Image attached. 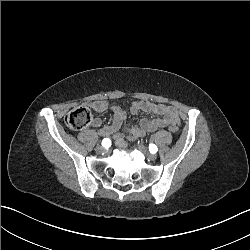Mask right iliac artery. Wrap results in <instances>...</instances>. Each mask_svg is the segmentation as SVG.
I'll return each mask as SVG.
<instances>
[{
    "instance_id": "right-iliac-artery-1",
    "label": "right iliac artery",
    "mask_w": 250,
    "mask_h": 250,
    "mask_svg": "<svg viewBox=\"0 0 250 250\" xmlns=\"http://www.w3.org/2000/svg\"><path fill=\"white\" fill-rule=\"evenodd\" d=\"M102 146L108 148L111 146V140L109 138H104L102 141Z\"/></svg>"
}]
</instances>
